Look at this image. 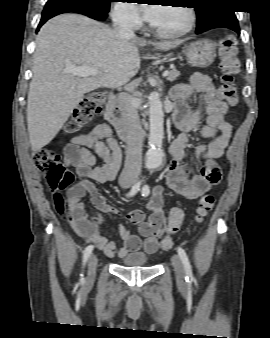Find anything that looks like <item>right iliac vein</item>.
I'll use <instances>...</instances> for the list:
<instances>
[{
    "instance_id": "63e3f726",
    "label": "right iliac vein",
    "mask_w": 270,
    "mask_h": 338,
    "mask_svg": "<svg viewBox=\"0 0 270 338\" xmlns=\"http://www.w3.org/2000/svg\"><path fill=\"white\" fill-rule=\"evenodd\" d=\"M123 187H128V185H123ZM98 259L95 255H91L89 262H88V272H87V279L86 285H90L93 283L95 276H96V268H97Z\"/></svg>"
}]
</instances>
